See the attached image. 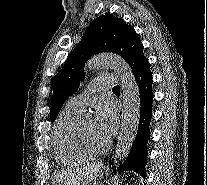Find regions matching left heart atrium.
I'll return each instance as SVG.
<instances>
[{
  "mask_svg": "<svg viewBox=\"0 0 207 185\" xmlns=\"http://www.w3.org/2000/svg\"><path fill=\"white\" fill-rule=\"evenodd\" d=\"M95 126L106 139L112 138L118 129V118L113 105H101L96 110Z\"/></svg>",
  "mask_w": 207,
  "mask_h": 185,
  "instance_id": "1",
  "label": "left heart atrium"
}]
</instances>
